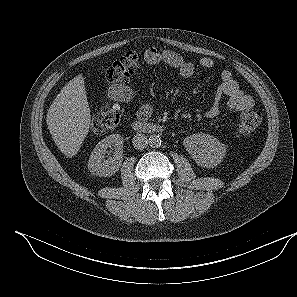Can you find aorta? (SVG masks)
Masks as SVG:
<instances>
[{
  "label": "aorta",
  "mask_w": 297,
  "mask_h": 297,
  "mask_svg": "<svg viewBox=\"0 0 297 297\" xmlns=\"http://www.w3.org/2000/svg\"><path fill=\"white\" fill-rule=\"evenodd\" d=\"M162 143V139L160 137V135L157 134H153L149 137L148 139V144L152 147V148H158L161 146Z\"/></svg>",
  "instance_id": "aorta-1"
}]
</instances>
